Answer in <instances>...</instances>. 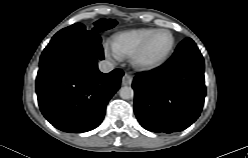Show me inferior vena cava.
<instances>
[{
  "label": "inferior vena cava",
  "mask_w": 248,
  "mask_h": 158,
  "mask_svg": "<svg viewBox=\"0 0 248 158\" xmlns=\"http://www.w3.org/2000/svg\"><path fill=\"white\" fill-rule=\"evenodd\" d=\"M99 70L103 73H109L114 69V64L108 60H102L99 62Z\"/></svg>",
  "instance_id": "obj_1"
}]
</instances>
